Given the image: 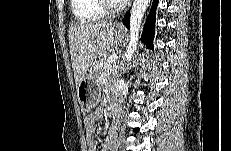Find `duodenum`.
<instances>
[{
    "instance_id": "1",
    "label": "duodenum",
    "mask_w": 231,
    "mask_h": 151,
    "mask_svg": "<svg viewBox=\"0 0 231 151\" xmlns=\"http://www.w3.org/2000/svg\"><path fill=\"white\" fill-rule=\"evenodd\" d=\"M111 108H112V113L115 117L119 115L120 111V103L118 99H112L111 101Z\"/></svg>"
}]
</instances>
